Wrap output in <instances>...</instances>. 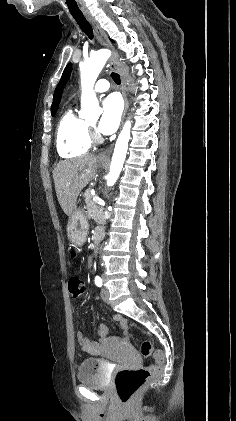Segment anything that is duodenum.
Returning a JSON list of instances; mask_svg holds the SVG:
<instances>
[{"mask_svg": "<svg viewBox=\"0 0 236 421\" xmlns=\"http://www.w3.org/2000/svg\"><path fill=\"white\" fill-rule=\"evenodd\" d=\"M103 237H104L103 229L101 228L96 229L94 233V237H93L94 247L98 246V244L101 242ZM106 334H107L106 332H100V336L102 337L100 343H93V344L90 343L85 337L81 336L80 340L83 345V348L93 354L103 355L107 349V342L104 339ZM126 337H127V331L125 332L124 339H126Z\"/></svg>", "mask_w": 236, "mask_h": 421, "instance_id": "duodenum-1", "label": "duodenum"}]
</instances>
